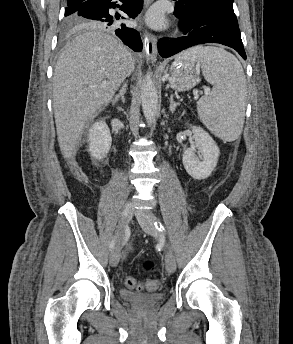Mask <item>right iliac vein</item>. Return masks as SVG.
Masks as SVG:
<instances>
[{"mask_svg":"<svg viewBox=\"0 0 293 344\" xmlns=\"http://www.w3.org/2000/svg\"><path fill=\"white\" fill-rule=\"evenodd\" d=\"M133 211H134V208H133L132 203L125 204L122 210L120 224H119V236L122 234L124 228L127 226L129 221L131 220ZM119 259H120V248H119V244H117L110 254L111 266L113 267L117 266Z\"/></svg>","mask_w":293,"mask_h":344,"instance_id":"obj_1","label":"right iliac vein"}]
</instances>
